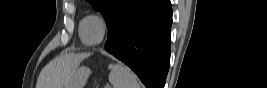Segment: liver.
<instances>
[{
	"label": "liver",
	"instance_id": "1",
	"mask_svg": "<svg viewBox=\"0 0 267 88\" xmlns=\"http://www.w3.org/2000/svg\"><path fill=\"white\" fill-rule=\"evenodd\" d=\"M86 54H61L40 72L36 88H64Z\"/></svg>",
	"mask_w": 267,
	"mask_h": 88
}]
</instances>
